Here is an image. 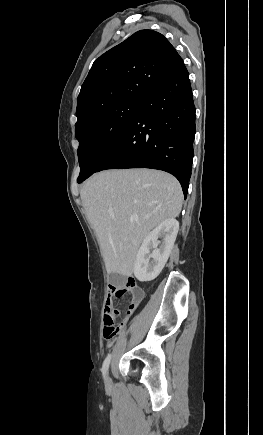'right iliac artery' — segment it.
Listing matches in <instances>:
<instances>
[{"label": "right iliac artery", "mask_w": 263, "mask_h": 435, "mask_svg": "<svg viewBox=\"0 0 263 435\" xmlns=\"http://www.w3.org/2000/svg\"><path fill=\"white\" fill-rule=\"evenodd\" d=\"M110 360H111V354L108 355V356L106 357V359L104 360V362H103V366H102V374H103V377H104V378H106L107 371H108L109 364H110Z\"/></svg>", "instance_id": "obj_1"}]
</instances>
